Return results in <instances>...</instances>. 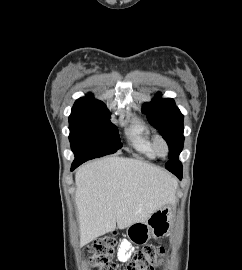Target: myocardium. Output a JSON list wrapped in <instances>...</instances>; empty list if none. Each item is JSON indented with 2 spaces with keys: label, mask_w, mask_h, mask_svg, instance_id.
<instances>
[{
  "label": "myocardium",
  "mask_w": 242,
  "mask_h": 270,
  "mask_svg": "<svg viewBox=\"0 0 242 270\" xmlns=\"http://www.w3.org/2000/svg\"><path fill=\"white\" fill-rule=\"evenodd\" d=\"M153 149L155 154L162 158L166 157L170 150L167 140L162 135H158L154 138Z\"/></svg>",
  "instance_id": "myocardium-1"
}]
</instances>
